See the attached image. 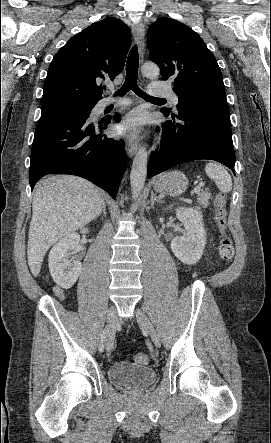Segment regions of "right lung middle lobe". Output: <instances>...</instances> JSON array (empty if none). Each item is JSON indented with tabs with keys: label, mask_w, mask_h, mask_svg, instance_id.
I'll use <instances>...</instances> for the list:
<instances>
[{
	"label": "right lung middle lobe",
	"mask_w": 271,
	"mask_h": 443,
	"mask_svg": "<svg viewBox=\"0 0 271 443\" xmlns=\"http://www.w3.org/2000/svg\"><path fill=\"white\" fill-rule=\"evenodd\" d=\"M95 103H83L71 100H60L48 103H42L41 115L61 111V110H77L80 112L88 113L92 110Z\"/></svg>",
	"instance_id": "1"
}]
</instances>
